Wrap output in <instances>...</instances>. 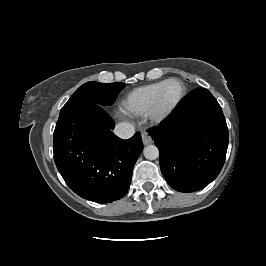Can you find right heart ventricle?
Returning <instances> with one entry per match:
<instances>
[{
    "mask_svg": "<svg viewBox=\"0 0 266 266\" xmlns=\"http://www.w3.org/2000/svg\"><path fill=\"white\" fill-rule=\"evenodd\" d=\"M164 82L160 81L132 90L122 101L124 110L135 116L148 115L155 96Z\"/></svg>",
    "mask_w": 266,
    "mask_h": 266,
    "instance_id": "obj_1",
    "label": "right heart ventricle"
}]
</instances>
